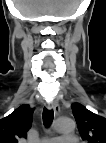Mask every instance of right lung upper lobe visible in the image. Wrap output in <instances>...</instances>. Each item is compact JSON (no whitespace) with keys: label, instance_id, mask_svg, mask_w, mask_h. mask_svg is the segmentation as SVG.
Instances as JSON below:
<instances>
[{"label":"right lung upper lobe","instance_id":"cb5924a9","mask_svg":"<svg viewBox=\"0 0 106 143\" xmlns=\"http://www.w3.org/2000/svg\"><path fill=\"white\" fill-rule=\"evenodd\" d=\"M34 109L29 105H21L10 115L0 120V143H18L27 137L31 128Z\"/></svg>","mask_w":106,"mask_h":143}]
</instances>
